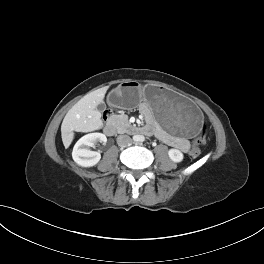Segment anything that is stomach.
Listing matches in <instances>:
<instances>
[{"instance_id": "stomach-1", "label": "stomach", "mask_w": 264, "mask_h": 264, "mask_svg": "<svg viewBox=\"0 0 264 264\" xmlns=\"http://www.w3.org/2000/svg\"><path fill=\"white\" fill-rule=\"evenodd\" d=\"M108 98L115 107L132 108L142 104L162 128L185 138L195 137L201 128L200 110L177 92L156 84L143 87L131 82L120 84Z\"/></svg>"}]
</instances>
